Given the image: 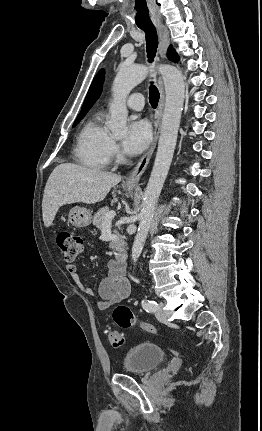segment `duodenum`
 Masks as SVG:
<instances>
[{"label":"duodenum","mask_w":262,"mask_h":431,"mask_svg":"<svg viewBox=\"0 0 262 431\" xmlns=\"http://www.w3.org/2000/svg\"><path fill=\"white\" fill-rule=\"evenodd\" d=\"M128 259V254L126 251H121L119 253V260L122 261L123 263H126Z\"/></svg>","instance_id":"duodenum-1"}]
</instances>
